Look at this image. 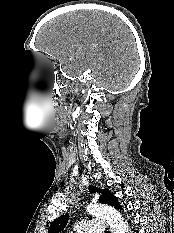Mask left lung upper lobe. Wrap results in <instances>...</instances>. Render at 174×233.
<instances>
[{
  "label": "left lung upper lobe",
  "instance_id": "obj_1",
  "mask_svg": "<svg viewBox=\"0 0 174 233\" xmlns=\"http://www.w3.org/2000/svg\"><path fill=\"white\" fill-rule=\"evenodd\" d=\"M89 190L90 193H95L96 191L100 192V198H99L100 203L111 205L116 209H120V210L122 209V207L118 202V199L107 188L97 189L95 186H89ZM68 220H69V214H65L56 218L52 222L48 230V233H60L67 225Z\"/></svg>",
  "mask_w": 174,
  "mask_h": 233
}]
</instances>
